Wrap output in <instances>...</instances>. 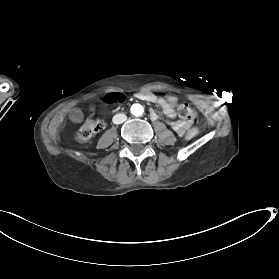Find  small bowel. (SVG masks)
I'll return each instance as SVG.
<instances>
[{"mask_svg":"<svg viewBox=\"0 0 279 279\" xmlns=\"http://www.w3.org/2000/svg\"><path fill=\"white\" fill-rule=\"evenodd\" d=\"M138 98L152 102L160 106L165 117L170 121L172 129L179 135L183 136L190 127V123L183 120H176L175 107L177 105V98L174 95H168L165 98L160 97L152 92H140L137 94ZM152 119H158V114L151 111Z\"/></svg>","mask_w":279,"mask_h":279,"instance_id":"obj_1","label":"small bowel"}]
</instances>
